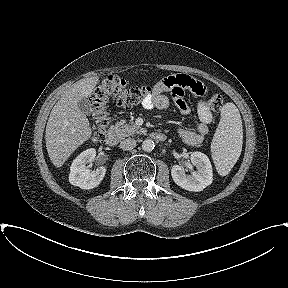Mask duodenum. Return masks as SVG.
Instances as JSON below:
<instances>
[{
  "label": "duodenum",
  "mask_w": 288,
  "mask_h": 288,
  "mask_svg": "<svg viewBox=\"0 0 288 288\" xmlns=\"http://www.w3.org/2000/svg\"><path fill=\"white\" fill-rule=\"evenodd\" d=\"M151 138L157 141H164L166 139V135L162 132H153ZM105 142L108 146H116L119 142V135L114 128H110L107 135Z\"/></svg>",
  "instance_id": "1"
}]
</instances>
